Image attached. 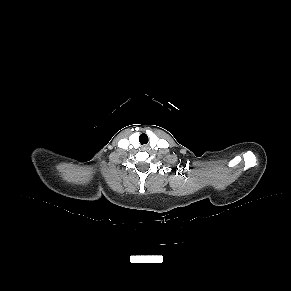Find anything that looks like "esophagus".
I'll use <instances>...</instances> for the list:
<instances>
[{"instance_id":"34e87169","label":"esophagus","mask_w":291,"mask_h":291,"mask_svg":"<svg viewBox=\"0 0 291 291\" xmlns=\"http://www.w3.org/2000/svg\"><path fill=\"white\" fill-rule=\"evenodd\" d=\"M147 149H148L147 146H143V147H142V150H147Z\"/></svg>"}]
</instances>
